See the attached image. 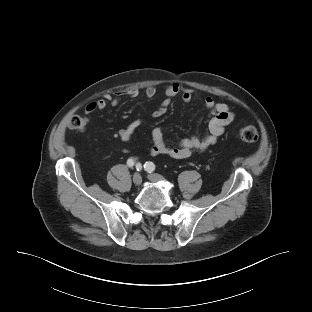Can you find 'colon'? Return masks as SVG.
I'll return each mask as SVG.
<instances>
[{
	"label": "colon",
	"mask_w": 312,
	"mask_h": 312,
	"mask_svg": "<svg viewBox=\"0 0 312 312\" xmlns=\"http://www.w3.org/2000/svg\"><path fill=\"white\" fill-rule=\"evenodd\" d=\"M87 125V120L83 116L73 115L69 119V126L73 129H84ZM237 137L243 142L252 143L255 142L258 137V130L254 125H246L241 127L237 132Z\"/></svg>",
	"instance_id": "colon-1"
}]
</instances>
